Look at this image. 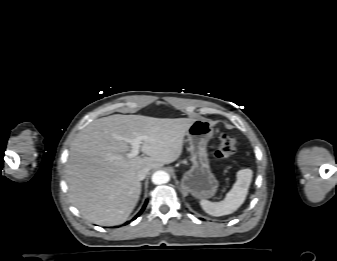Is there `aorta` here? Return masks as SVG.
<instances>
[{
    "mask_svg": "<svg viewBox=\"0 0 337 261\" xmlns=\"http://www.w3.org/2000/svg\"><path fill=\"white\" fill-rule=\"evenodd\" d=\"M170 176L167 172L159 170L152 175V182L156 185L167 183Z\"/></svg>",
    "mask_w": 337,
    "mask_h": 261,
    "instance_id": "aorta-1",
    "label": "aorta"
}]
</instances>
